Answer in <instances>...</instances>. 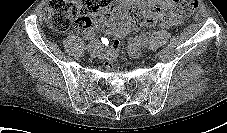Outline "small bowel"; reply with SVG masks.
<instances>
[{
    "label": "small bowel",
    "instance_id": "obj_1",
    "mask_svg": "<svg viewBox=\"0 0 227 133\" xmlns=\"http://www.w3.org/2000/svg\"><path fill=\"white\" fill-rule=\"evenodd\" d=\"M150 8L158 7L166 10L167 18L159 22L162 27H175L181 23V17L176 15L173 11L172 0H148ZM132 5H138L144 8V0H121L120 7L114 14L107 18L98 20L92 28L84 31V37L87 40H91L94 37V31L105 27L107 35L116 36L122 38L126 36L132 28V20L129 16V8ZM156 23V22H154ZM154 23H148L152 25Z\"/></svg>",
    "mask_w": 227,
    "mask_h": 133
}]
</instances>
